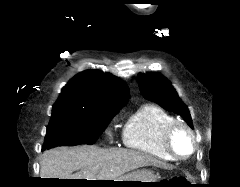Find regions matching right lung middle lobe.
Wrapping results in <instances>:
<instances>
[{"mask_svg": "<svg viewBox=\"0 0 240 187\" xmlns=\"http://www.w3.org/2000/svg\"><path fill=\"white\" fill-rule=\"evenodd\" d=\"M117 111L53 108L42 150L62 145L93 144Z\"/></svg>", "mask_w": 240, "mask_h": 187, "instance_id": "dd1d6c3e", "label": "right lung middle lobe"}]
</instances>
